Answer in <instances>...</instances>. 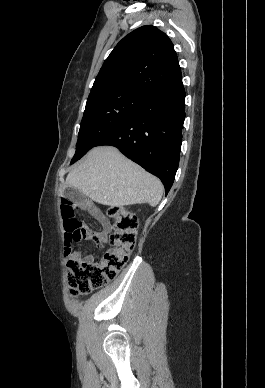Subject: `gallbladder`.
Here are the masks:
<instances>
[{
  "label": "gallbladder",
  "mask_w": 265,
  "mask_h": 388,
  "mask_svg": "<svg viewBox=\"0 0 265 388\" xmlns=\"http://www.w3.org/2000/svg\"><path fill=\"white\" fill-rule=\"evenodd\" d=\"M63 196H65L67 200H70V202H73V204H77V206L86 202V196H84L82 192H79V190H75V188H66L63 192Z\"/></svg>",
  "instance_id": "obj_1"
}]
</instances>
